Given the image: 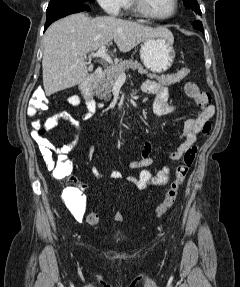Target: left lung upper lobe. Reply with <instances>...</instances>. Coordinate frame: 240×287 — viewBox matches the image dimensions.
<instances>
[{
  "instance_id": "obj_1",
  "label": "left lung upper lobe",
  "mask_w": 240,
  "mask_h": 287,
  "mask_svg": "<svg viewBox=\"0 0 240 287\" xmlns=\"http://www.w3.org/2000/svg\"><path fill=\"white\" fill-rule=\"evenodd\" d=\"M183 2L186 8H191L192 10L196 12H200V8L197 3V0H183Z\"/></svg>"
}]
</instances>
